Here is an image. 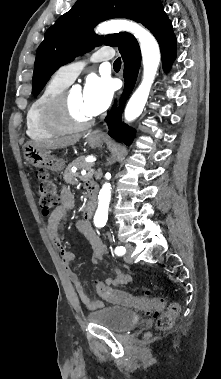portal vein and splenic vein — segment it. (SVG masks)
Listing matches in <instances>:
<instances>
[{
	"instance_id": "1",
	"label": "portal vein and splenic vein",
	"mask_w": 221,
	"mask_h": 379,
	"mask_svg": "<svg viewBox=\"0 0 221 379\" xmlns=\"http://www.w3.org/2000/svg\"><path fill=\"white\" fill-rule=\"evenodd\" d=\"M89 162H91V163H93V162H95V159L94 160H91V161H89ZM93 169H91V170H89V172L87 173L86 172V170H83V171H81V175H83V176H86V175H92L93 174Z\"/></svg>"
}]
</instances>
